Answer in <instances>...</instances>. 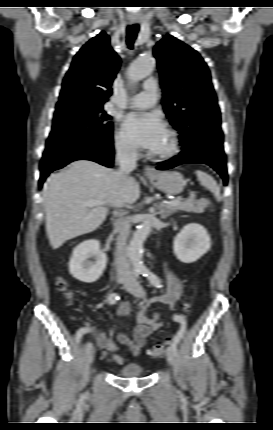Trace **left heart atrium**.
<instances>
[{
    "instance_id": "obj_1",
    "label": "left heart atrium",
    "mask_w": 273,
    "mask_h": 430,
    "mask_svg": "<svg viewBox=\"0 0 273 430\" xmlns=\"http://www.w3.org/2000/svg\"><path fill=\"white\" fill-rule=\"evenodd\" d=\"M124 129L133 143L153 152L160 147L167 133L163 121L154 113L130 114Z\"/></svg>"
}]
</instances>
